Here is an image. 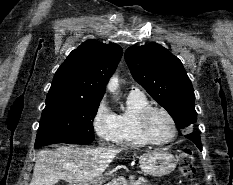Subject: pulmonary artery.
<instances>
[{
    "label": "pulmonary artery",
    "mask_w": 233,
    "mask_h": 185,
    "mask_svg": "<svg viewBox=\"0 0 233 185\" xmlns=\"http://www.w3.org/2000/svg\"><path fill=\"white\" fill-rule=\"evenodd\" d=\"M130 93H136V94H143V91L141 88L136 87V86H132L130 88Z\"/></svg>",
    "instance_id": "e3ab8cb5"
}]
</instances>
